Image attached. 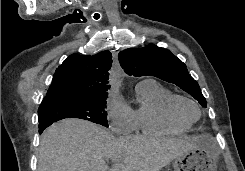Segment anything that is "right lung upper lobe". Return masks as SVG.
Returning a JSON list of instances; mask_svg holds the SVG:
<instances>
[{
  "label": "right lung upper lobe",
  "instance_id": "1",
  "mask_svg": "<svg viewBox=\"0 0 245 171\" xmlns=\"http://www.w3.org/2000/svg\"><path fill=\"white\" fill-rule=\"evenodd\" d=\"M112 55L101 51L95 55L72 54L56 69L42 103L57 99H88L108 94Z\"/></svg>",
  "mask_w": 245,
  "mask_h": 171
}]
</instances>
